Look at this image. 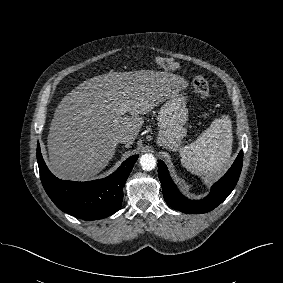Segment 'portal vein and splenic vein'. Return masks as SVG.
<instances>
[{
    "mask_svg": "<svg viewBox=\"0 0 283 283\" xmlns=\"http://www.w3.org/2000/svg\"><path fill=\"white\" fill-rule=\"evenodd\" d=\"M126 112V110H121V113L123 114V113H125Z\"/></svg>",
    "mask_w": 283,
    "mask_h": 283,
    "instance_id": "1",
    "label": "portal vein and splenic vein"
}]
</instances>
